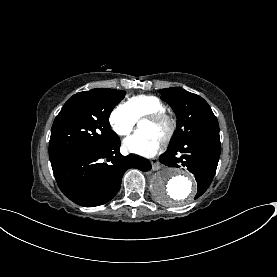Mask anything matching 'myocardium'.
I'll use <instances>...</instances> for the list:
<instances>
[{
  "mask_svg": "<svg viewBox=\"0 0 277 277\" xmlns=\"http://www.w3.org/2000/svg\"><path fill=\"white\" fill-rule=\"evenodd\" d=\"M143 119H148L155 122H162L166 125V132L160 138V140L164 143L168 142L173 137L176 131L175 119L165 111H150L144 116Z\"/></svg>",
  "mask_w": 277,
  "mask_h": 277,
  "instance_id": "myocardium-1",
  "label": "myocardium"
}]
</instances>
